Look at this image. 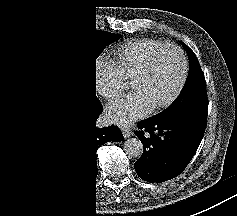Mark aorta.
Returning <instances> with one entry per match:
<instances>
[{"instance_id": "aorta-1", "label": "aorta", "mask_w": 237, "mask_h": 216, "mask_svg": "<svg viewBox=\"0 0 237 216\" xmlns=\"http://www.w3.org/2000/svg\"><path fill=\"white\" fill-rule=\"evenodd\" d=\"M124 150L133 156H139L143 152V144L138 138H128L124 142Z\"/></svg>"}]
</instances>
